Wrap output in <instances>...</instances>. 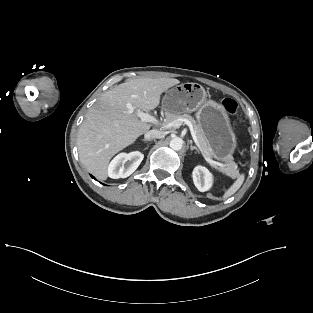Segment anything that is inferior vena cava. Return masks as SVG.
<instances>
[{
	"label": "inferior vena cava",
	"mask_w": 313,
	"mask_h": 313,
	"mask_svg": "<svg viewBox=\"0 0 313 313\" xmlns=\"http://www.w3.org/2000/svg\"><path fill=\"white\" fill-rule=\"evenodd\" d=\"M146 140L161 139L165 137V132L157 129L150 130L145 133Z\"/></svg>",
	"instance_id": "obj_1"
}]
</instances>
